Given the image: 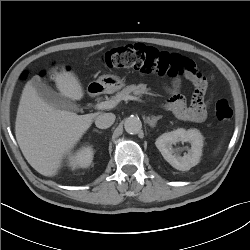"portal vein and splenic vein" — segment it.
<instances>
[{
  "instance_id": "18ae733b",
  "label": "portal vein and splenic vein",
  "mask_w": 250,
  "mask_h": 250,
  "mask_svg": "<svg viewBox=\"0 0 250 250\" xmlns=\"http://www.w3.org/2000/svg\"><path fill=\"white\" fill-rule=\"evenodd\" d=\"M124 100H134V101H139L142 102V100L139 97L133 96V95H128L124 98ZM120 101L118 100H107L104 102H100L98 104L95 105V108L98 110H103V109H111L114 108L115 106H117V104Z\"/></svg>"
}]
</instances>
